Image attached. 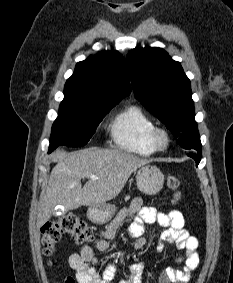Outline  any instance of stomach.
Instances as JSON below:
<instances>
[{
  "label": "stomach",
  "mask_w": 233,
  "mask_h": 283,
  "mask_svg": "<svg viewBox=\"0 0 233 283\" xmlns=\"http://www.w3.org/2000/svg\"><path fill=\"white\" fill-rule=\"evenodd\" d=\"M137 188L146 195H156L160 192L164 184V175L159 168L153 165L140 167L136 175ZM115 206L97 205L88 209V217L97 224L108 222L115 213Z\"/></svg>",
  "instance_id": "0dacf381"
}]
</instances>
